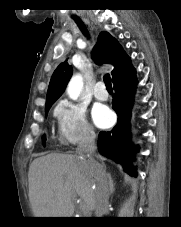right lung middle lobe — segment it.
I'll return each mask as SVG.
<instances>
[{
    "label": "right lung middle lobe",
    "instance_id": "dd1d6c3e",
    "mask_svg": "<svg viewBox=\"0 0 181 227\" xmlns=\"http://www.w3.org/2000/svg\"><path fill=\"white\" fill-rule=\"evenodd\" d=\"M51 105H52V104L46 105V106H45V112H46V113H47L48 110L50 109ZM45 140H46V139H45V136H43V137H42V143H43L44 146H45Z\"/></svg>",
    "mask_w": 181,
    "mask_h": 227
}]
</instances>
